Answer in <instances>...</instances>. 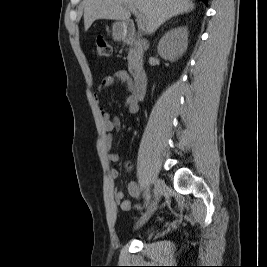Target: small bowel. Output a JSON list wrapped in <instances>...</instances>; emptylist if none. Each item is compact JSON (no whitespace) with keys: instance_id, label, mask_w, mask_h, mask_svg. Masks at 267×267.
Returning a JSON list of instances; mask_svg holds the SVG:
<instances>
[{"instance_id":"c3829d8e","label":"small bowel","mask_w":267,"mask_h":267,"mask_svg":"<svg viewBox=\"0 0 267 267\" xmlns=\"http://www.w3.org/2000/svg\"><path fill=\"white\" fill-rule=\"evenodd\" d=\"M124 83L129 89H132V81L129 74L124 70L116 71L113 75L104 77L97 87L95 97L98 99L103 89L112 87L116 83ZM125 108L129 114H135L139 110L138 100L132 95H128L124 101ZM102 128L104 131L103 148L107 153V158L111 162H118L119 156L113 152L114 136L113 131L118 130L121 127V123L118 118L113 117L105 108L101 109ZM109 175L112 179H116L119 176L118 170L111 168ZM128 193L133 198L141 197V189L137 182L130 181L127 185ZM114 201L121 206L124 211L137 210L139 206L132 204L129 200H125V194L121 190H115L113 192Z\"/></svg>"}]
</instances>
